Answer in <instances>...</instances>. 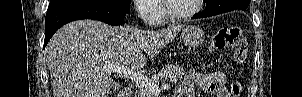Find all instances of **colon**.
<instances>
[{"instance_id":"1","label":"colon","mask_w":302,"mask_h":97,"mask_svg":"<svg viewBox=\"0 0 302 97\" xmlns=\"http://www.w3.org/2000/svg\"><path fill=\"white\" fill-rule=\"evenodd\" d=\"M208 47L212 52L230 48L237 63H243L248 54V43L239 27L220 28L213 36ZM239 94L240 85L235 82L232 86V96L238 97Z\"/></svg>"}]
</instances>
